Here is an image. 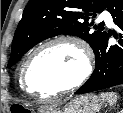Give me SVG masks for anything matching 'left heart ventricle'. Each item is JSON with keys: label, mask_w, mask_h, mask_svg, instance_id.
<instances>
[{"label": "left heart ventricle", "mask_w": 123, "mask_h": 113, "mask_svg": "<svg viewBox=\"0 0 123 113\" xmlns=\"http://www.w3.org/2000/svg\"><path fill=\"white\" fill-rule=\"evenodd\" d=\"M83 69L81 52L70 43H58L39 52L29 72L30 90L48 94L75 81Z\"/></svg>", "instance_id": "b2bd125f"}]
</instances>
